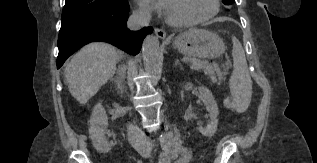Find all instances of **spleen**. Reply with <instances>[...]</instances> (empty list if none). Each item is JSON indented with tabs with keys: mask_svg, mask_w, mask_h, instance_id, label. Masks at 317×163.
<instances>
[{
	"mask_svg": "<svg viewBox=\"0 0 317 163\" xmlns=\"http://www.w3.org/2000/svg\"><path fill=\"white\" fill-rule=\"evenodd\" d=\"M232 42L233 72L229 80V87L232 96V107L241 113L249 106L252 95V81L241 43L234 36Z\"/></svg>",
	"mask_w": 317,
	"mask_h": 163,
	"instance_id": "spleen-1",
	"label": "spleen"
}]
</instances>
